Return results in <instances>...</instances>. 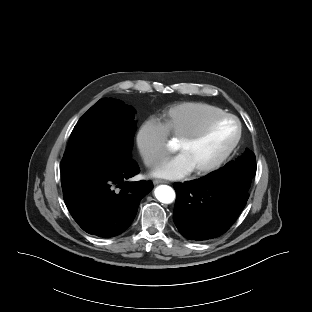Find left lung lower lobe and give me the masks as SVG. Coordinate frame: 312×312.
<instances>
[{"instance_id": "obj_1", "label": "left lung lower lobe", "mask_w": 312, "mask_h": 312, "mask_svg": "<svg viewBox=\"0 0 312 312\" xmlns=\"http://www.w3.org/2000/svg\"><path fill=\"white\" fill-rule=\"evenodd\" d=\"M173 220L187 239L201 241L219 237L235 222L249 193L231 178L209 175L190 182L175 183Z\"/></svg>"}]
</instances>
